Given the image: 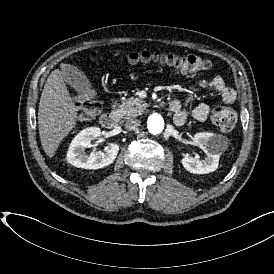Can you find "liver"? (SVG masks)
Wrapping results in <instances>:
<instances>
[{
  "label": "liver",
  "mask_w": 274,
  "mask_h": 274,
  "mask_svg": "<svg viewBox=\"0 0 274 274\" xmlns=\"http://www.w3.org/2000/svg\"><path fill=\"white\" fill-rule=\"evenodd\" d=\"M119 53L121 50H112ZM80 74L79 68L61 63L49 75L38 106V129L41 146L49 158H53L60 143L78 124L79 106L72 98L68 86L74 76Z\"/></svg>",
  "instance_id": "6515ba94"
}]
</instances>
